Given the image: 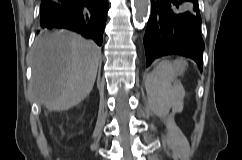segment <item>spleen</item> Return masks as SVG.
<instances>
[{"mask_svg": "<svg viewBox=\"0 0 242 160\" xmlns=\"http://www.w3.org/2000/svg\"><path fill=\"white\" fill-rule=\"evenodd\" d=\"M186 66L187 62L182 59L173 62L161 61L149 76L148 88L157 95L160 107H171L175 104L177 100L175 90L179 87L175 77L177 73H182Z\"/></svg>", "mask_w": 242, "mask_h": 160, "instance_id": "spleen-1", "label": "spleen"}]
</instances>
